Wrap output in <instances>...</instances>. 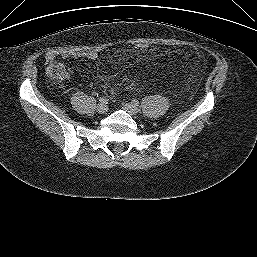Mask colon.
Here are the masks:
<instances>
[{
    "label": "colon",
    "mask_w": 257,
    "mask_h": 257,
    "mask_svg": "<svg viewBox=\"0 0 257 257\" xmlns=\"http://www.w3.org/2000/svg\"><path fill=\"white\" fill-rule=\"evenodd\" d=\"M133 48L138 52H143L149 48V45L147 43L140 42L135 43ZM46 71L52 82H61L66 77V71L64 67L56 61L47 62Z\"/></svg>",
    "instance_id": "1"
}]
</instances>
